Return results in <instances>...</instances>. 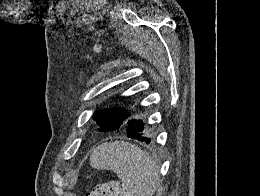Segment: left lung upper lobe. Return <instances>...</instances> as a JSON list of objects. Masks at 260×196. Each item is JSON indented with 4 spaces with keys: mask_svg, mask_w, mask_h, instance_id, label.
I'll return each instance as SVG.
<instances>
[{
    "mask_svg": "<svg viewBox=\"0 0 260 196\" xmlns=\"http://www.w3.org/2000/svg\"><path fill=\"white\" fill-rule=\"evenodd\" d=\"M108 111V110H103V111H99L94 115V119L97 121L98 125H100L101 127L99 128V131H113V130H118V129H124L127 128L128 123L130 121H137V122H143L146 121L145 119H139V118H145L146 114L144 113V111L142 109H136L132 112V114L125 119L124 121H120V122H103L101 121V117L103 116V114ZM137 118V119H135ZM144 123V122H143Z\"/></svg>",
    "mask_w": 260,
    "mask_h": 196,
    "instance_id": "obj_1",
    "label": "left lung upper lobe"
}]
</instances>
